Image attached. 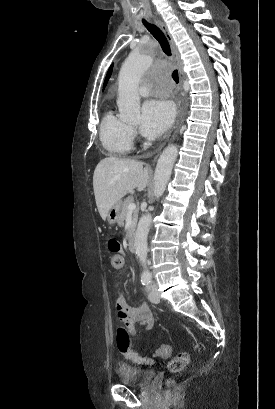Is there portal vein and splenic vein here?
I'll return each mask as SVG.
<instances>
[{"instance_id": "1", "label": "portal vein and splenic vein", "mask_w": 275, "mask_h": 409, "mask_svg": "<svg viewBox=\"0 0 275 409\" xmlns=\"http://www.w3.org/2000/svg\"><path fill=\"white\" fill-rule=\"evenodd\" d=\"M136 209L135 202H130V205H128V213H132Z\"/></svg>"}]
</instances>
